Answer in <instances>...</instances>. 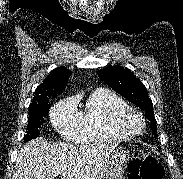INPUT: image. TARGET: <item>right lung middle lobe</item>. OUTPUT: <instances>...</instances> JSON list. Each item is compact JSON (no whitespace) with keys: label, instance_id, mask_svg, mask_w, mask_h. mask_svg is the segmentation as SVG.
<instances>
[{"label":"right lung middle lobe","instance_id":"dd1d6c3e","mask_svg":"<svg viewBox=\"0 0 183 179\" xmlns=\"http://www.w3.org/2000/svg\"><path fill=\"white\" fill-rule=\"evenodd\" d=\"M49 103L45 101L40 105L29 106V118L27 133L24 142L30 141L39 136V128L44 123V118L48 115Z\"/></svg>","mask_w":183,"mask_h":179}]
</instances>
